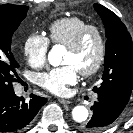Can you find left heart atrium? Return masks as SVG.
Instances as JSON below:
<instances>
[{
    "mask_svg": "<svg viewBox=\"0 0 133 133\" xmlns=\"http://www.w3.org/2000/svg\"><path fill=\"white\" fill-rule=\"evenodd\" d=\"M78 80V70L72 64L53 68L48 72L37 76V83L47 91L63 95L70 85H74Z\"/></svg>",
    "mask_w": 133,
    "mask_h": 133,
    "instance_id": "39dd6f15",
    "label": "left heart atrium"
}]
</instances>
